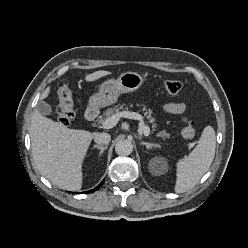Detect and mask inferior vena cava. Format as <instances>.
<instances>
[{"label":"inferior vena cava","instance_id":"602c4592","mask_svg":"<svg viewBox=\"0 0 248 248\" xmlns=\"http://www.w3.org/2000/svg\"><path fill=\"white\" fill-rule=\"evenodd\" d=\"M111 140V136L108 133H95L94 141L100 145H107Z\"/></svg>","mask_w":248,"mask_h":248}]
</instances>
